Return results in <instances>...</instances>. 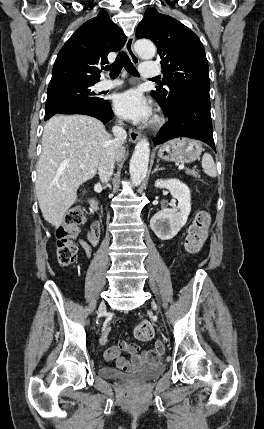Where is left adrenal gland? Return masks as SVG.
<instances>
[{"label":"left adrenal gland","mask_w":264,"mask_h":429,"mask_svg":"<svg viewBox=\"0 0 264 429\" xmlns=\"http://www.w3.org/2000/svg\"><path fill=\"white\" fill-rule=\"evenodd\" d=\"M158 170H164V168H160L158 165H156V167L152 171V174L155 173V172H157Z\"/></svg>","instance_id":"left-adrenal-gland-1"}]
</instances>
